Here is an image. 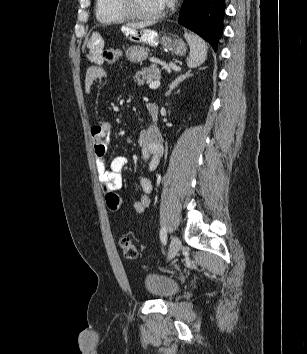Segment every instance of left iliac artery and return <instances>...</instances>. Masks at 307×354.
Wrapping results in <instances>:
<instances>
[{"label":"left iliac artery","instance_id":"left-iliac-artery-1","mask_svg":"<svg viewBox=\"0 0 307 354\" xmlns=\"http://www.w3.org/2000/svg\"><path fill=\"white\" fill-rule=\"evenodd\" d=\"M166 238H167V230L165 227H162L160 230V239L164 244H166Z\"/></svg>","mask_w":307,"mask_h":354}]
</instances>
